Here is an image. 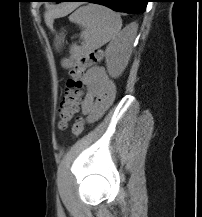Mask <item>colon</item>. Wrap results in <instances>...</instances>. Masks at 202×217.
I'll return each instance as SVG.
<instances>
[{"label":"colon","mask_w":202,"mask_h":217,"mask_svg":"<svg viewBox=\"0 0 202 217\" xmlns=\"http://www.w3.org/2000/svg\"><path fill=\"white\" fill-rule=\"evenodd\" d=\"M102 58L103 52L100 50H95L81 58L69 68L70 78L67 82V91L65 92L59 108L58 127L60 129L66 128L68 123L78 111V88L81 86V76L84 70L87 67L100 62ZM84 124L85 122L83 117H78L72 126V134L74 136H79L83 132Z\"/></svg>","instance_id":"colon-1"}]
</instances>
